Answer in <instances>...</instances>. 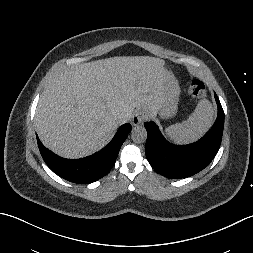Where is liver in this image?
Segmentation results:
<instances>
[{
    "mask_svg": "<svg viewBox=\"0 0 253 253\" xmlns=\"http://www.w3.org/2000/svg\"><path fill=\"white\" fill-rule=\"evenodd\" d=\"M175 76L149 56H117L65 67L44 89L35 129L57 155L77 159L102 149L135 108L158 113Z\"/></svg>",
    "mask_w": 253,
    "mask_h": 253,
    "instance_id": "liver-1",
    "label": "liver"
}]
</instances>
